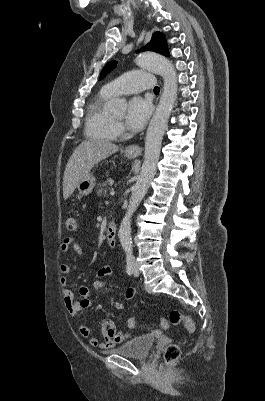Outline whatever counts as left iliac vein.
I'll return each mask as SVG.
<instances>
[{"label":"left iliac vein","instance_id":"1","mask_svg":"<svg viewBox=\"0 0 265 401\" xmlns=\"http://www.w3.org/2000/svg\"><path fill=\"white\" fill-rule=\"evenodd\" d=\"M132 266H133V274L134 276H139L140 272L138 270L137 264L135 262H132Z\"/></svg>","mask_w":265,"mask_h":401}]
</instances>
